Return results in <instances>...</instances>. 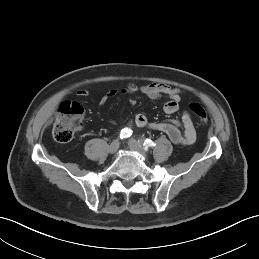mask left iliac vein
<instances>
[{
	"label": "left iliac vein",
	"mask_w": 259,
	"mask_h": 259,
	"mask_svg": "<svg viewBox=\"0 0 259 259\" xmlns=\"http://www.w3.org/2000/svg\"><path fill=\"white\" fill-rule=\"evenodd\" d=\"M128 145L130 147L131 150L133 151H137L142 155H145V151L144 148L142 147V145L136 141L135 139H130L128 142Z\"/></svg>",
	"instance_id": "1"
}]
</instances>
